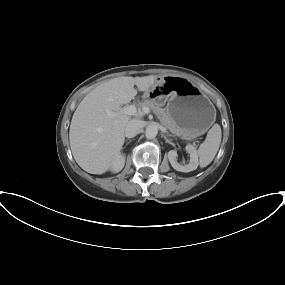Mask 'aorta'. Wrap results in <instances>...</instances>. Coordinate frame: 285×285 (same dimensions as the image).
<instances>
[{
    "instance_id": "762f6f07",
    "label": "aorta",
    "mask_w": 285,
    "mask_h": 285,
    "mask_svg": "<svg viewBox=\"0 0 285 285\" xmlns=\"http://www.w3.org/2000/svg\"><path fill=\"white\" fill-rule=\"evenodd\" d=\"M158 134V127L155 124H151L149 126H147L146 131H145V135L147 138L151 139V138H155Z\"/></svg>"
}]
</instances>
